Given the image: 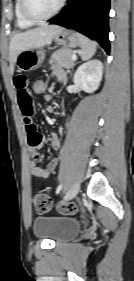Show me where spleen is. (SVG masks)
Listing matches in <instances>:
<instances>
[{"instance_id":"1","label":"spleen","mask_w":134,"mask_h":281,"mask_svg":"<svg viewBox=\"0 0 134 281\" xmlns=\"http://www.w3.org/2000/svg\"><path fill=\"white\" fill-rule=\"evenodd\" d=\"M80 46V55L84 61L90 59L95 54L97 49V43L95 41H91L83 35L80 36Z\"/></svg>"}]
</instances>
